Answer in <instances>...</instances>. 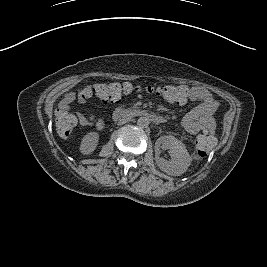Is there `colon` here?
<instances>
[{"label":"colon","mask_w":267,"mask_h":267,"mask_svg":"<svg viewBox=\"0 0 267 267\" xmlns=\"http://www.w3.org/2000/svg\"><path fill=\"white\" fill-rule=\"evenodd\" d=\"M140 86H134L130 83H98L87 86L82 91V97L85 100L96 99L103 103L119 102L127 98L134 91H140ZM150 92H154L169 102L179 103L186 97V92L179 86L160 85L157 87H148ZM75 118L66 110H60L56 114L55 126L58 135L61 138L69 137L75 126ZM216 139L212 132L202 131L196 139V150L200 156H206L215 146Z\"/></svg>","instance_id":"1"}]
</instances>
